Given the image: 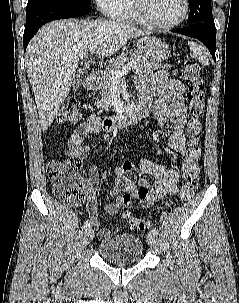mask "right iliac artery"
Listing matches in <instances>:
<instances>
[{
	"mask_svg": "<svg viewBox=\"0 0 239 303\" xmlns=\"http://www.w3.org/2000/svg\"><path fill=\"white\" fill-rule=\"evenodd\" d=\"M90 225H91V221L87 220V221L84 222L83 227H84V229H88L90 227Z\"/></svg>",
	"mask_w": 239,
	"mask_h": 303,
	"instance_id": "82829eb1",
	"label": "right iliac artery"
}]
</instances>
